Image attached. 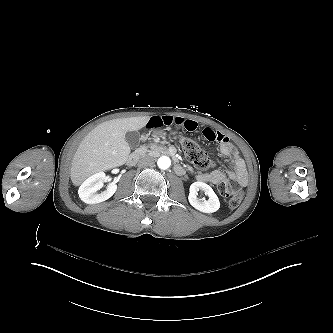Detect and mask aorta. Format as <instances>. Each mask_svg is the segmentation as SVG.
Listing matches in <instances>:
<instances>
[{"mask_svg":"<svg viewBox=\"0 0 333 333\" xmlns=\"http://www.w3.org/2000/svg\"><path fill=\"white\" fill-rule=\"evenodd\" d=\"M157 164H158V167H159L160 169H164V170H165V169H167V168L170 167V165H171V160H170V158L167 157V156H162V157H160V158L158 159Z\"/></svg>","mask_w":333,"mask_h":333,"instance_id":"762f6f07","label":"aorta"}]
</instances>
